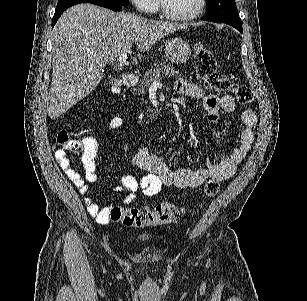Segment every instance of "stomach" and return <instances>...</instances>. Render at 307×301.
Returning <instances> with one entry per match:
<instances>
[{
	"mask_svg": "<svg viewBox=\"0 0 307 301\" xmlns=\"http://www.w3.org/2000/svg\"><path fill=\"white\" fill-rule=\"evenodd\" d=\"M164 52L169 58L170 62H186L191 54V46L187 42L186 38H181V36H173V38H168L164 44Z\"/></svg>",
	"mask_w": 307,
	"mask_h": 301,
	"instance_id": "0dacf381",
	"label": "stomach"
}]
</instances>
